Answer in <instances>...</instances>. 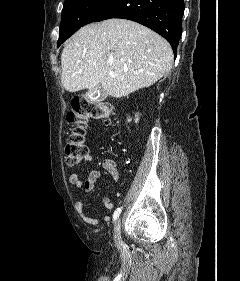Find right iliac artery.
<instances>
[{"instance_id":"obj_1","label":"right iliac artery","mask_w":240,"mask_h":281,"mask_svg":"<svg viewBox=\"0 0 240 281\" xmlns=\"http://www.w3.org/2000/svg\"><path fill=\"white\" fill-rule=\"evenodd\" d=\"M120 213H121V208H117L115 210L114 214H113V220L114 221L117 220V218L119 217Z\"/></svg>"}]
</instances>
